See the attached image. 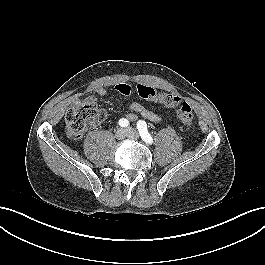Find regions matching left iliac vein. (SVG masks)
I'll list each match as a JSON object with an SVG mask.
<instances>
[{
  "label": "left iliac vein",
  "mask_w": 265,
  "mask_h": 265,
  "mask_svg": "<svg viewBox=\"0 0 265 265\" xmlns=\"http://www.w3.org/2000/svg\"><path fill=\"white\" fill-rule=\"evenodd\" d=\"M126 130L130 138H136L138 136V133L133 128L129 127V128H126Z\"/></svg>",
  "instance_id": "1"
}]
</instances>
